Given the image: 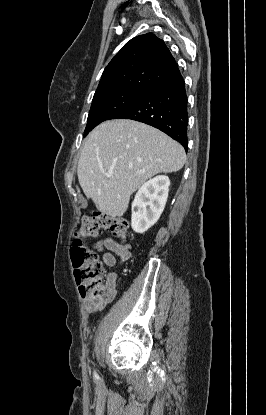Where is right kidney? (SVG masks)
<instances>
[{
    "label": "right kidney",
    "instance_id": "ca27d5eb",
    "mask_svg": "<svg viewBox=\"0 0 266 415\" xmlns=\"http://www.w3.org/2000/svg\"><path fill=\"white\" fill-rule=\"evenodd\" d=\"M168 176L160 175L145 182L132 203L131 226L136 233H144L162 214L169 192Z\"/></svg>",
    "mask_w": 266,
    "mask_h": 415
}]
</instances>
